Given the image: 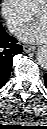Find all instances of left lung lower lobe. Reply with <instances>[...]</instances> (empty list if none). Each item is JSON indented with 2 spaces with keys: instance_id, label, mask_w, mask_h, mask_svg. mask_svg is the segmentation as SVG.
<instances>
[{
  "instance_id": "obj_1",
  "label": "left lung lower lobe",
  "mask_w": 47,
  "mask_h": 129,
  "mask_svg": "<svg viewBox=\"0 0 47 129\" xmlns=\"http://www.w3.org/2000/svg\"><path fill=\"white\" fill-rule=\"evenodd\" d=\"M44 80H45V83H46V86H47V73L44 75Z\"/></svg>"
}]
</instances>
